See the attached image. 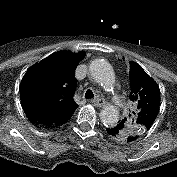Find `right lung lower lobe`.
I'll use <instances>...</instances> for the list:
<instances>
[{
    "mask_svg": "<svg viewBox=\"0 0 177 177\" xmlns=\"http://www.w3.org/2000/svg\"><path fill=\"white\" fill-rule=\"evenodd\" d=\"M29 120L34 125H36L37 127H40V128H53V127H50L45 121L38 120V119H31V118H29Z\"/></svg>",
    "mask_w": 177,
    "mask_h": 177,
    "instance_id": "1",
    "label": "right lung lower lobe"
}]
</instances>
